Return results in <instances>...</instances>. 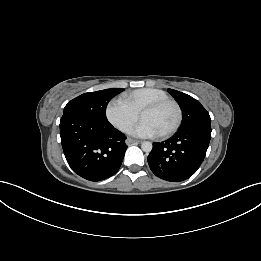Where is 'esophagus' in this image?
<instances>
[{"label": "esophagus", "mask_w": 261, "mask_h": 261, "mask_svg": "<svg viewBox=\"0 0 261 261\" xmlns=\"http://www.w3.org/2000/svg\"><path fill=\"white\" fill-rule=\"evenodd\" d=\"M142 141H140V140H135V139H132V138H128L127 140H126V143L128 144V145H131V144H140Z\"/></svg>", "instance_id": "obj_1"}]
</instances>
